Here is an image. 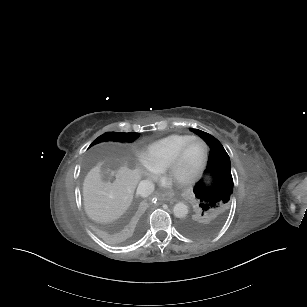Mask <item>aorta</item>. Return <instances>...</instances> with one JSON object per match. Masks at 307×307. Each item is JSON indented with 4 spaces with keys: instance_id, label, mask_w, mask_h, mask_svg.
Listing matches in <instances>:
<instances>
[{
    "instance_id": "aorta-1",
    "label": "aorta",
    "mask_w": 307,
    "mask_h": 307,
    "mask_svg": "<svg viewBox=\"0 0 307 307\" xmlns=\"http://www.w3.org/2000/svg\"><path fill=\"white\" fill-rule=\"evenodd\" d=\"M173 214L177 218H184L188 214V207L183 202H178L173 207Z\"/></svg>"
}]
</instances>
